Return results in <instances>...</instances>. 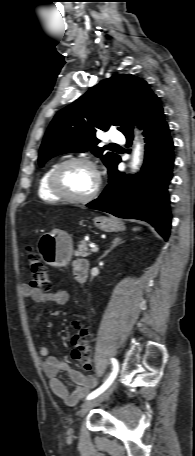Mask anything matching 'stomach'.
Segmentation results:
<instances>
[{
	"label": "stomach",
	"instance_id": "obj_1",
	"mask_svg": "<svg viewBox=\"0 0 195 456\" xmlns=\"http://www.w3.org/2000/svg\"><path fill=\"white\" fill-rule=\"evenodd\" d=\"M94 225L105 232L124 230L123 222L112 217H95ZM73 243L71 236L60 229H54L44 235L39 242L42 259L49 265L65 266L72 257Z\"/></svg>",
	"mask_w": 195,
	"mask_h": 456
}]
</instances>
